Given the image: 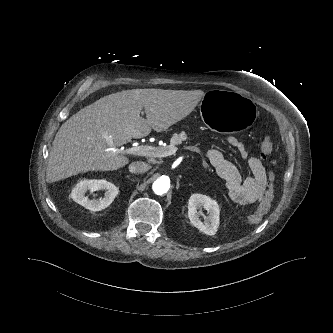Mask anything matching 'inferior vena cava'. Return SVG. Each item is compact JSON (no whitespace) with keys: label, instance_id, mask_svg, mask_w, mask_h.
I'll list each match as a JSON object with an SVG mask.
<instances>
[{"label":"inferior vena cava","instance_id":"1","mask_svg":"<svg viewBox=\"0 0 333 333\" xmlns=\"http://www.w3.org/2000/svg\"><path fill=\"white\" fill-rule=\"evenodd\" d=\"M150 168L151 166L148 163L142 161H135L129 165V171L131 173H144Z\"/></svg>","mask_w":333,"mask_h":333}]
</instances>
